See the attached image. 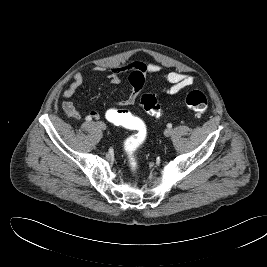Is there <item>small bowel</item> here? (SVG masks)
<instances>
[{
  "mask_svg": "<svg viewBox=\"0 0 267 267\" xmlns=\"http://www.w3.org/2000/svg\"><path fill=\"white\" fill-rule=\"evenodd\" d=\"M162 66L157 63H144L141 61H132L124 66L113 67L110 73L107 75V80L112 85H118L121 82L119 74L123 71H129V80L133 87L131 94L127 99L120 101L119 106H129L135 103L139 93L143 89L147 78L149 77H161L169 86L165 88V92L168 94H176L182 89L191 86L194 83V78L188 74L180 72L162 73ZM84 83V77L81 73L76 72L73 75V80L70 85L63 91L62 108L65 113L74 119H79L83 116V113L79 111L73 101L72 97L76 91ZM99 119L100 116L96 111H90L86 114V118Z\"/></svg>",
  "mask_w": 267,
  "mask_h": 267,
  "instance_id": "c3829d8e",
  "label": "small bowel"
}]
</instances>
